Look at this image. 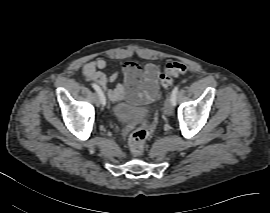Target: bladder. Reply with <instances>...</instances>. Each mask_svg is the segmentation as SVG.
Wrapping results in <instances>:
<instances>
[{
    "mask_svg": "<svg viewBox=\"0 0 270 213\" xmlns=\"http://www.w3.org/2000/svg\"><path fill=\"white\" fill-rule=\"evenodd\" d=\"M128 101L122 100L118 103H116L110 110L111 116L114 120H116L118 123L122 124V118L126 115H128ZM135 126L138 127L142 123V121L145 119V109L140 108L135 112Z\"/></svg>",
    "mask_w": 270,
    "mask_h": 213,
    "instance_id": "1",
    "label": "bladder"
}]
</instances>
